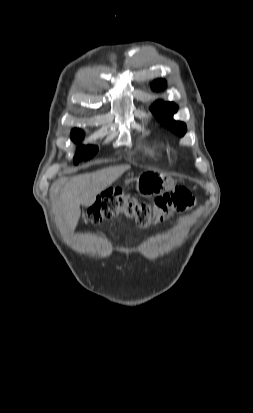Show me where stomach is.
Masks as SVG:
<instances>
[{"label":"stomach","mask_w":253,"mask_h":413,"mask_svg":"<svg viewBox=\"0 0 253 413\" xmlns=\"http://www.w3.org/2000/svg\"><path fill=\"white\" fill-rule=\"evenodd\" d=\"M175 182L169 176L144 171L136 178V190L143 197H155L171 191Z\"/></svg>","instance_id":"1"}]
</instances>
